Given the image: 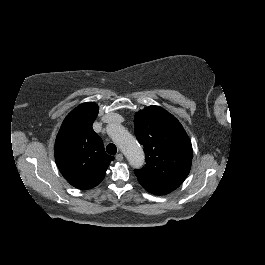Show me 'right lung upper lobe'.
<instances>
[{"label":"right lung upper lobe","instance_id":"1","mask_svg":"<svg viewBox=\"0 0 265 265\" xmlns=\"http://www.w3.org/2000/svg\"><path fill=\"white\" fill-rule=\"evenodd\" d=\"M98 111L93 102L76 107L64 119L55 141L58 169L72 186L82 190L98 185L114 160L92 128Z\"/></svg>","mask_w":265,"mask_h":265}]
</instances>
